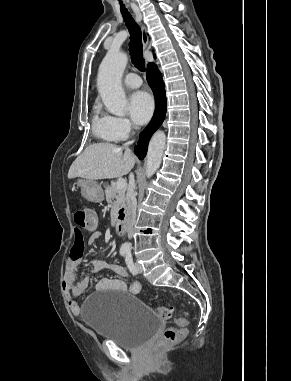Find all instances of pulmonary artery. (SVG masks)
<instances>
[{"mask_svg": "<svg viewBox=\"0 0 291 381\" xmlns=\"http://www.w3.org/2000/svg\"><path fill=\"white\" fill-rule=\"evenodd\" d=\"M124 84L131 89L138 88L142 84L141 78L135 73H129L124 78Z\"/></svg>", "mask_w": 291, "mask_h": 381, "instance_id": "pulmonary-artery-1", "label": "pulmonary artery"}]
</instances>
